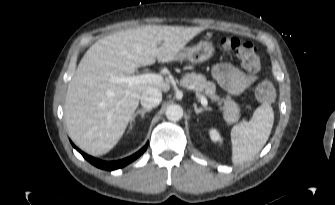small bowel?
Listing matches in <instances>:
<instances>
[{
    "label": "small bowel",
    "mask_w": 335,
    "mask_h": 205,
    "mask_svg": "<svg viewBox=\"0 0 335 205\" xmlns=\"http://www.w3.org/2000/svg\"><path fill=\"white\" fill-rule=\"evenodd\" d=\"M212 75L228 93L237 95L249 88L257 79L230 63H218L212 67Z\"/></svg>",
    "instance_id": "small-bowel-1"
}]
</instances>
